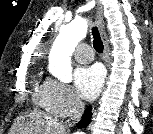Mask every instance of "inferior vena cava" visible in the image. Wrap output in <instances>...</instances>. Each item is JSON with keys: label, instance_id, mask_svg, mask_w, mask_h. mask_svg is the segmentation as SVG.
Instances as JSON below:
<instances>
[{"label": "inferior vena cava", "instance_id": "1", "mask_svg": "<svg viewBox=\"0 0 153 134\" xmlns=\"http://www.w3.org/2000/svg\"><path fill=\"white\" fill-rule=\"evenodd\" d=\"M83 108H84V103L79 98H76L73 105V111L70 116L71 122H68L67 126L71 127L80 120Z\"/></svg>", "mask_w": 153, "mask_h": 134}]
</instances>
